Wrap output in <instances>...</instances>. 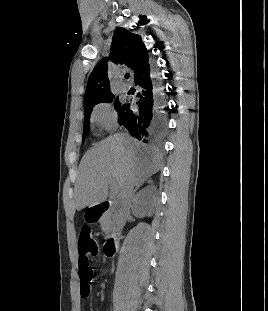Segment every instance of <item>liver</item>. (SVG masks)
Wrapping results in <instances>:
<instances>
[{
	"label": "liver",
	"instance_id": "liver-1",
	"mask_svg": "<svg viewBox=\"0 0 268 311\" xmlns=\"http://www.w3.org/2000/svg\"><path fill=\"white\" fill-rule=\"evenodd\" d=\"M159 156L128 135L115 134L96 144L82 158L75 185L77 210L104 202L109 185L121 191L127 184L137 186L155 174Z\"/></svg>",
	"mask_w": 268,
	"mask_h": 311
}]
</instances>
